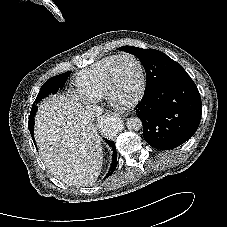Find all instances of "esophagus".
<instances>
[{
    "mask_svg": "<svg viewBox=\"0 0 227 227\" xmlns=\"http://www.w3.org/2000/svg\"><path fill=\"white\" fill-rule=\"evenodd\" d=\"M105 117H115L119 119V114L118 113H106Z\"/></svg>",
    "mask_w": 227,
    "mask_h": 227,
    "instance_id": "34e87169",
    "label": "esophagus"
}]
</instances>
